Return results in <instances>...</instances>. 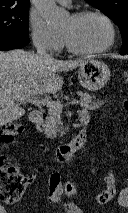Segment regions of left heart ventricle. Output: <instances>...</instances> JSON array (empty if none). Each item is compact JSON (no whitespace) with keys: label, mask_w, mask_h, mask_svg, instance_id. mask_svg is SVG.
<instances>
[{"label":"left heart ventricle","mask_w":128,"mask_h":213,"mask_svg":"<svg viewBox=\"0 0 128 213\" xmlns=\"http://www.w3.org/2000/svg\"><path fill=\"white\" fill-rule=\"evenodd\" d=\"M62 32L69 34L80 48L94 50L104 47L110 39V29L97 16H87L78 21L69 18Z\"/></svg>","instance_id":"left-heart-ventricle-1"}]
</instances>
